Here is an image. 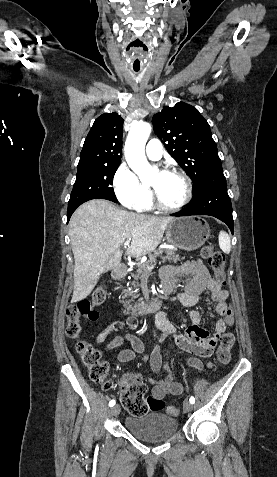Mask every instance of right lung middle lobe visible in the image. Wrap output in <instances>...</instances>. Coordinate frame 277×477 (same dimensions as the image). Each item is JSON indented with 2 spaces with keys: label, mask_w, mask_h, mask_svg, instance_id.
Instances as JSON below:
<instances>
[{
  "label": "right lung middle lobe",
  "mask_w": 277,
  "mask_h": 477,
  "mask_svg": "<svg viewBox=\"0 0 277 477\" xmlns=\"http://www.w3.org/2000/svg\"><path fill=\"white\" fill-rule=\"evenodd\" d=\"M119 165L96 166L78 169L76 181L68 202L67 219L75 209L91 199H107L118 202L111 187L113 177Z\"/></svg>",
  "instance_id": "obj_1"
}]
</instances>
